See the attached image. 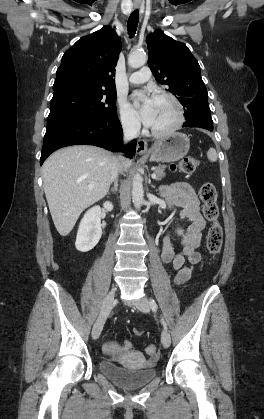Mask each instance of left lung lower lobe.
Returning a JSON list of instances; mask_svg holds the SVG:
<instances>
[{
    "instance_id": "1",
    "label": "left lung lower lobe",
    "mask_w": 264,
    "mask_h": 419,
    "mask_svg": "<svg viewBox=\"0 0 264 419\" xmlns=\"http://www.w3.org/2000/svg\"><path fill=\"white\" fill-rule=\"evenodd\" d=\"M199 109L185 110V123L183 127H199L213 131V122L208 102L198 107Z\"/></svg>"
}]
</instances>
